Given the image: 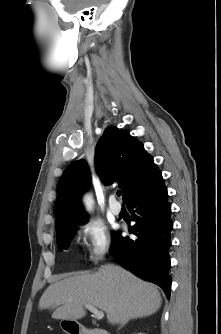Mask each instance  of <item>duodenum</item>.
Masks as SVG:
<instances>
[{
  "mask_svg": "<svg viewBox=\"0 0 221 334\" xmlns=\"http://www.w3.org/2000/svg\"><path fill=\"white\" fill-rule=\"evenodd\" d=\"M71 334H110L102 328L75 327L68 330Z\"/></svg>",
  "mask_w": 221,
  "mask_h": 334,
  "instance_id": "1",
  "label": "duodenum"
}]
</instances>
